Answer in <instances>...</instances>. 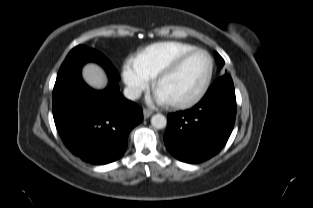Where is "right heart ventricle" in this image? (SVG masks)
Here are the masks:
<instances>
[{
  "label": "right heart ventricle",
  "instance_id": "right-heart-ventricle-1",
  "mask_svg": "<svg viewBox=\"0 0 313 208\" xmlns=\"http://www.w3.org/2000/svg\"><path fill=\"white\" fill-rule=\"evenodd\" d=\"M195 48L196 46L184 42H159L145 48L132 63L140 72L154 78L182 53Z\"/></svg>",
  "mask_w": 313,
  "mask_h": 208
}]
</instances>
